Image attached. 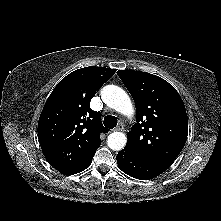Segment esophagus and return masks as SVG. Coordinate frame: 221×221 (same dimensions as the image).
I'll return each mask as SVG.
<instances>
[{
	"label": "esophagus",
	"instance_id": "esophagus-1",
	"mask_svg": "<svg viewBox=\"0 0 221 221\" xmlns=\"http://www.w3.org/2000/svg\"><path fill=\"white\" fill-rule=\"evenodd\" d=\"M123 129H124L123 124H119V125L114 129V131H122Z\"/></svg>",
	"mask_w": 221,
	"mask_h": 221
}]
</instances>
